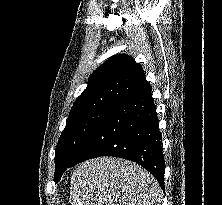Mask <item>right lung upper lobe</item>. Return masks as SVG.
I'll list each match as a JSON object with an SVG mask.
<instances>
[{"label": "right lung upper lobe", "mask_w": 222, "mask_h": 205, "mask_svg": "<svg viewBox=\"0 0 222 205\" xmlns=\"http://www.w3.org/2000/svg\"><path fill=\"white\" fill-rule=\"evenodd\" d=\"M147 85L142 67L131 56H113L90 76L87 88L75 101L69 117L90 110L113 108Z\"/></svg>", "instance_id": "1"}]
</instances>
